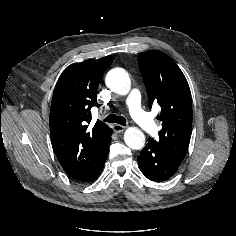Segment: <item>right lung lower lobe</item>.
<instances>
[{
	"label": "right lung lower lobe",
	"instance_id": "right-lung-lower-lobe-1",
	"mask_svg": "<svg viewBox=\"0 0 236 236\" xmlns=\"http://www.w3.org/2000/svg\"><path fill=\"white\" fill-rule=\"evenodd\" d=\"M111 134H112V131L110 133L109 141H108L105 152L97 158V160L93 163V165L83 175H81L78 178H74V179H76L80 182H92L93 180L96 179V177L101 172V170L104 166V163L107 159L109 144L111 141Z\"/></svg>",
	"mask_w": 236,
	"mask_h": 236
}]
</instances>
